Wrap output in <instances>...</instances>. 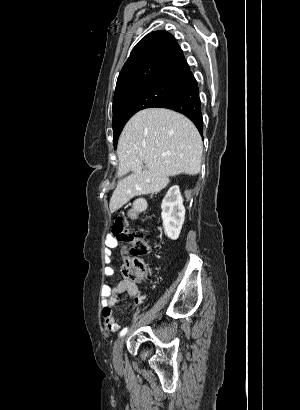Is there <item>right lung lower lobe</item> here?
<instances>
[{"mask_svg": "<svg viewBox=\"0 0 300 410\" xmlns=\"http://www.w3.org/2000/svg\"><path fill=\"white\" fill-rule=\"evenodd\" d=\"M162 108H168L187 116L198 128L200 134L203 131L201 101L197 81L193 77L185 89L174 99L163 104Z\"/></svg>", "mask_w": 300, "mask_h": 410, "instance_id": "obj_1", "label": "right lung lower lobe"}]
</instances>
